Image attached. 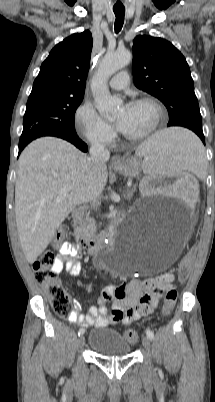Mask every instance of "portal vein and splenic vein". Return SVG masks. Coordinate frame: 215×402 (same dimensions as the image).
I'll use <instances>...</instances> for the list:
<instances>
[{
	"label": "portal vein and splenic vein",
	"instance_id": "1",
	"mask_svg": "<svg viewBox=\"0 0 215 402\" xmlns=\"http://www.w3.org/2000/svg\"><path fill=\"white\" fill-rule=\"evenodd\" d=\"M69 190H70V187H67V186L61 187L59 195H58V200H61Z\"/></svg>",
	"mask_w": 215,
	"mask_h": 402
}]
</instances>
